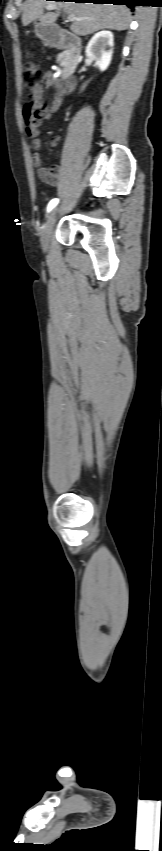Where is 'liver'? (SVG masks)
Instances as JSON below:
<instances>
[{
	"instance_id": "6515ba94",
	"label": "liver",
	"mask_w": 162,
	"mask_h": 851,
	"mask_svg": "<svg viewBox=\"0 0 162 851\" xmlns=\"http://www.w3.org/2000/svg\"><path fill=\"white\" fill-rule=\"evenodd\" d=\"M48 6L63 9L69 15L81 18L73 21L70 27L71 31L79 36H86L103 29L123 31L128 29L130 24V11L124 5L26 0L23 4V26L37 19L40 23L53 25L59 12L44 14L43 9Z\"/></svg>"
}]
</instances>
